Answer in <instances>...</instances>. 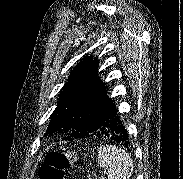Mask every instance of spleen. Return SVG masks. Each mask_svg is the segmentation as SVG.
I'll return each mask as SVG.
<instances>
[{"label": "spleen", "mask_w": 183, "mask_h": 179, "mask_svg": "<svg viewBox=\"0 0 183 179\" xmlns=\"http://www.w3.org/2000/svg\"><path fill=\"white\" fill-rule=\"evenodd\" d=\"M97 162L100 167L107 170L108 179H129L133 173L131 157L115 145H101Z\"/></svg>", "instance_id": "obj_1"}]
</instances>
